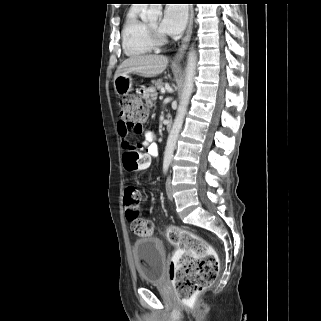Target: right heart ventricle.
<instances>
[{"label":"right heart ventricle","instance_id":"obj_1","mask_svg":"<svg viewBox=\"0 0 321 321\" xmlns=\"http://www.w3.org/2000/svg\"><path fill=\"white\" fill-rule=\"evenodd\" d=\"M144 9V5L131 6L122 27V47L129 57L149 54L155 48L148 35L147 23L140 18Z\"/></svg>","mask_w":321,"mask_h":321}]
</instances>
